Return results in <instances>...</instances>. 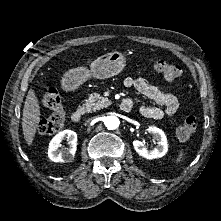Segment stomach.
<instances>
[{"label": "stomach", "mask_w": 221, "mask_h": 221, "mask_svg": "<svg viewBox=\"0 0 221 221\" xmlns=\"http://www.w3.org/2000/svg\"><path fill=\"white\" fill-rule=\"evenodd\" d=\"M126 65V57L120 51L106 53L94 60L90 69L76 67L65 73L63 85L68 90H75L90 78L106 79L119 74Z\"/></svg>", "instance_id": "1"}]
</instances>
